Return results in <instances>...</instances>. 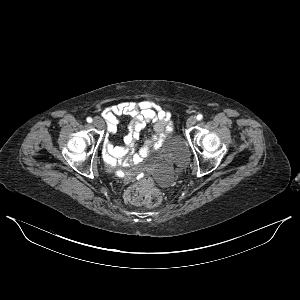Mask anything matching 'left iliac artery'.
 I'll return each mask as SVG.
<instances>
[{
  "label": "left iliac artery",
  "mask_w": 300,
  "mask_h": 300,
  "mask_svg": "<svg viewBox=\"0 0 300 300\" xmlns=\"http://www.w3.org/2000/svg\"><path fill=\"white\" fill-rule=\"evenodd\" d=\"M196 119H197L198 121L202 120V119H203V115H202V114H198L197 117H196Z\"/></svg>",
  "instance_id": "1"
}]
</instances>
